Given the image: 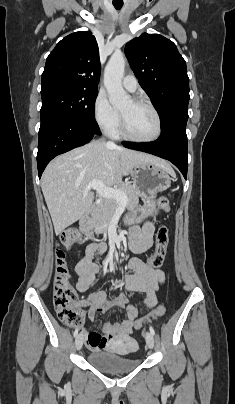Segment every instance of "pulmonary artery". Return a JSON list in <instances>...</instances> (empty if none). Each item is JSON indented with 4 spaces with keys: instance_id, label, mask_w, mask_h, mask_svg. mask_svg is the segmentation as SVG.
Segmentation results:
<instances>
[{
    "instance_id": "e3ab8cb5",
    "label": "pulmonary artery",
    "mask_w": 235,
    "mask_h": 404,
    "mask_svg": "<svg viewBox=\"0 0 235 404\" xmlns=\"http://www.w3.org/2000/svg\"><path fill=\"white\" fill-rule=\"evenodd\" d=\"M123 87L129 92H135L138 88V82L135 76L129 74L122 79Z\"/></svg>"
}]
</instances>
